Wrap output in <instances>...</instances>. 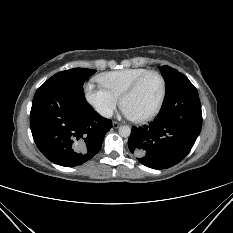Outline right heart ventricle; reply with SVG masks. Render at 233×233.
<instances>
[{"mask_svg": "<svg viewBox=\"0 0 233 233\" xmlns=\"http://www.w3.org/2000/svg\"><path fill=\"white\" fill-rule=\"evenodd\" d=\"M149 71L147 68H125L105 72L97 77V81L116 97L121 94L143 73Z\"/></svg>", "mask_w": 233, "mask_h": 233, "instance_id": "e07e8e85", "label": "right heart ventricle"}]
</instances>
